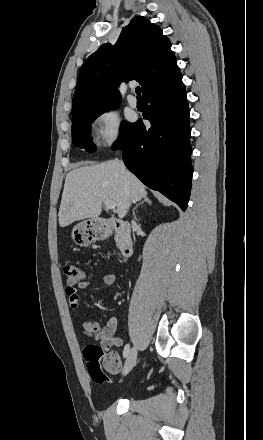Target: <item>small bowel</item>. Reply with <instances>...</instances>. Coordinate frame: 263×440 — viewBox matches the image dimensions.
<instances>
[{
  "label": "small bowel",
  "instance_id": "small-bowel-1",
  "mask_svg": "<svg viewBox=\"0 0 263 440\" xmlns=\"http://www.w3.org/2000/svg\"><path fill=\"white\" fill-rule=\"evenodd\" d=\"M102 282L107 286H111L116 282V275L114 273H106L102 277ZM91 286L92 281L85 280L78 286L67 287L66 292L72 309L76 310L80 305L78 290L89 289ZM116 328V317H110L104 327H101L99 322L94 320H84L82 322V333L99 341L104 350H110L121 346L122 340L115 336Z\"/></svg>",
  "mask_w": 263,
  "mask_h": 440
}]
</instances>
